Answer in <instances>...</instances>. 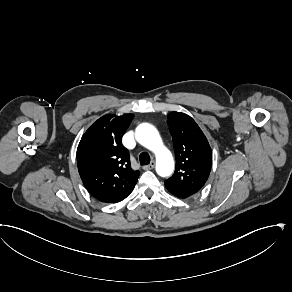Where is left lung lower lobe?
<instances>
[{
	"instance_id": "obj_1",
	"label": "left lung lower lobe",
	"mask_w": 292,
	"mask_h": 292,
	"mask_svg": "<svg viewBox=\"0 0 292 292\" xmlns=\"http://www.w3.org/2000/svg\"><path fill=\"white\" fill-rule=\"evenodd\" d=\"M167 190L173 194L174 196L178 197V198H188L190 196H192L193 194L195 193H192V192H189V191H183V190H179V189H174V188H170V187H167Z\"/></svg>"
}]
</instances>
